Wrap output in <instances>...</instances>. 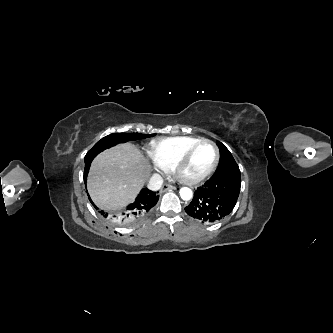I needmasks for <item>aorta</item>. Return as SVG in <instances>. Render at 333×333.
Masks as SVG:
<instances>
[{"label": "aorta", "instance_id": "obj_1", "mask_svg": "<svg viewBox=\"0 0 333 333\" xmlns=\"http://www.w3.org/2000/svg\"><path fill=\"white\" fill-rule=\"evenodd\" d=\"M180 196L183 200H190L193 196L192 190L188 187L180 189Z\"/></svg>", "mask_w": 333, "mask_h": 333}]
</instances>
